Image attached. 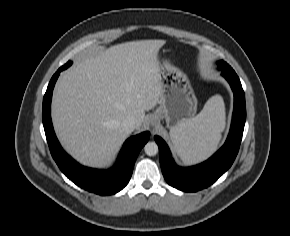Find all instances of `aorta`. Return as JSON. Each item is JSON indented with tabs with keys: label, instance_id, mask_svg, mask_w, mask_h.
Here are the masks:
<instances>
[{
	"label": "aorta",
	"instance_id": "1",
	"mask_svg": "<svg viewBox=\"0 0 290 236\" xmlns=\"http://www.w3.org/2000/svg\"><path fill=\"white\" fill-rule=\"evenodd\" d=\"M144 151L148 156H154L158 153V145L155 142H148L144 146Z\"/></svg>",
	"mask_w": 290,
	"mask_h": 236
}]
</instances>
